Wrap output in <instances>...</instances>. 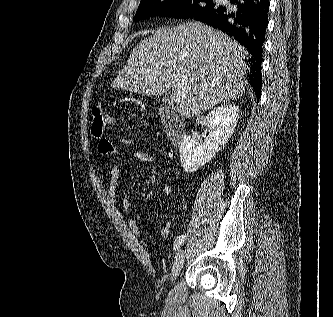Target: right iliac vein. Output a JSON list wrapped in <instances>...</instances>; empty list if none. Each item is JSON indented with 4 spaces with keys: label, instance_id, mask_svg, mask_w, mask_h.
Instances as JSON below:
<instances>
[{
    "label": "right iliac vein",
    "instance_id": "right-iliac-vein-1",
    "mask_svg": "<svg viewBox=\"0 0 333 317\" xmlns=\"http://www.w3.org/2000/svg\"><path fill=\"white\" fill-rule=\"evenodd\" d=\"M185 253L186 252L184 250H180L175 257V261L172 268V273L175 278L179 276L182 270L185 260Z\"/></svg>",
    "mask_w": 333,
    "mask_h": 317
}]
</instances>
